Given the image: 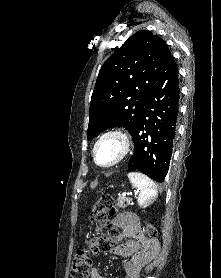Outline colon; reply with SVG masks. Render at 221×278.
<instances>
[{
  "label": "colon",
  "mask_w": 221,
  "mask_h": 278,
  "mask_svg": "<svg viewBox=\"0 0 221 278\" xmlns=\"http://www.w3.org/2000/svg\"><path fill=\"white\" fill-rule=\"evenodd\" d=\"M118 212L115 200L109 195H103L96 202L91 214L90 221L93 224L104 227L106 235L97 239H88L85 245L78 250L71 267V278H90L92 271V255L106 252L112 245V239L117 235V229L111 222L110 217ZM127 219L128 214H122ZM146 232L150 239V249L157 247V231L151 225H146Z\"/></svg>",
  "instance_id": "5ec220e1"
}]
</instances>
